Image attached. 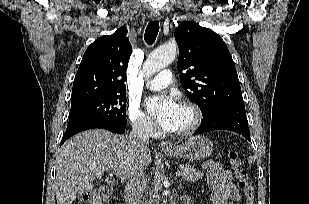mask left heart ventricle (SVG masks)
<instances>
[{"label": "left heart ventricle", "instance_id": "b2bd125f", "mask_svg": "<svg viewBox=\"0 0 309 204\" xmlns=\"http://www.w3.org/2000/svg\"><path fill=\"white\" fill-rule=\"evenodd\" d=\"M192 120V114L189 110L186 108H183L182 106L179 109L178 115L175 120V125L173 130L182 129L190 124Z\"/></svg>", "mask_w": 309, "mask_h": 204}]
</instances>
